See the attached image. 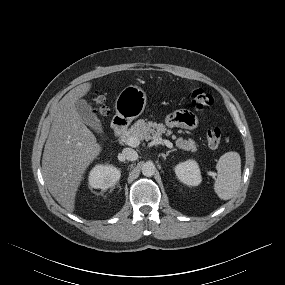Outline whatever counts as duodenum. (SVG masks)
I'll use <instances>...</instances> for the list:
<instances>
[{"instance_id":"410a0bca","label":"duodenum","mask_w":285,"mask_h":285,"mask_svg":"<svg viewBox=\"0 0 285 285\" xmlns=\"http://www.w3.org/2000/svg\"><path fill=\"white\" fill-rule=\"evenodd\" d=\"M128 123L122 117H116L113 121L112 128L116 136H121L127 129Z\"/></svg>"}]
</instances>
